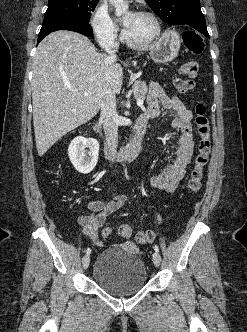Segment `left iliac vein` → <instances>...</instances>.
<instances>
[{"mask_svg":"<svg viewBox=\"0 0 247 332\" xmlns=\"http://www.w3.org/2000/svg\"><path fill=\"white\" fill-rule=\"evenodd\" d=\"M152 258H153V262H154L155 266L158 267L160 265V262H161V256H160V254L155 251L153 253Z\"/></svg>","mask_w":247,"mask_h":332,"instance_id":"left-iliac-vein-1","label":"left iliac vein"}]
</instances>
